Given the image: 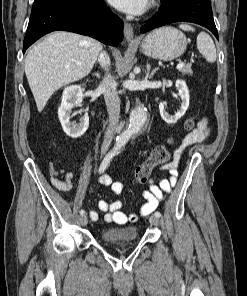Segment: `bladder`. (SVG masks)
Returning a JSON list of instances; mask_svg holds the SVG:
<instances>
[{
    "label": "bladder",
    "mask_w": 247,
    "mask_h": 296,
    "mask_svg": "<svg viewBox=\"0 0 247 296\" xmlns=\"http://www.w3.org/2000/svg\"><path fill=\"white\" fill-rule=\"evenodd\" d=\"M139 229L135 225L107 228L101 232V238L107 243L128 242L137 239Z\"/></svg>",
    "instance_id": "31cf9c89"
}]
</instances>
